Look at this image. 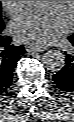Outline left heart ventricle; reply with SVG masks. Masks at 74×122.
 <instances>
[{"instance_id":"b2bd125f","label":"left heart ventricle","mask_w":74,"mask_h":122,"mask_svg":"<svg viewBox=\"0 0 74 122\" xmlns=\"http://www.w3.org/2000/svg\"><path fill=\"white\" fill-rule=\"evenodd\" d=\"M46 6H57L62 14L70 20L71 18V1H46Z\"/></svg>"}]
</instances>
